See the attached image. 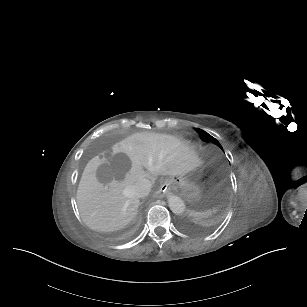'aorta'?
<instances>
[{
	"label": "aorta",
	"instance_id": "762f6f07",
	"mask_svg": "<svg viewBox=\"0 0 307 307\" xmlns=\"http://www.w3.org/2000/svg\"><path fill=\"white\" fill-rule=\"evenodd\" d=\"M169 206L172 210V212L176 215L182 214L185 211V204L182 199L179 197H172L169 200Z\"/></svg>",
	"mask_w": 307,
	"mask_h": 307
}]
</instances>
